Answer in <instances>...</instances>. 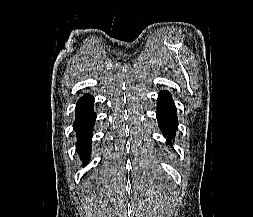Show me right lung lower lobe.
I'll return each instance as SVG.
<instances>
[{
  "label": "right lung lower lobe",
  "mask_w": 253,
  "mask_h": 217,
  "mask_svg": "<svg viewBox=\"0 0 253 217\" xmlns=\"http://www.w3.org/2000/svg\"><path fill=\"white\" fill-rule=\"evenodd\" d=\"M94 98L90 94H85L79 99L76 105L74 130L77 133V151L84 160L90 156V142L92 137V127L96 120L93 109Z\"/></svg>",
  "instance_id": "obj_1"
}]
</instances>
